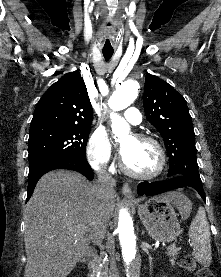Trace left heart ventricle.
<instances>
[{"mask_svg": "<svg viewBox=\"0 0 221 277\" xmlns=\"http://www.w3.org/2000/svg\"><path fill=\"white\" fill-rule=\"evenodd\" d=\"M124 162L129 169L140 174L153 173L159 164V155L155 146L149 142L128 137L121 143Z\"/></svg>", "mask_w": 221, "mask_h": 277, "instance_id": "b2bd125f", "label": "left heart ventricle"}]
</instances>
